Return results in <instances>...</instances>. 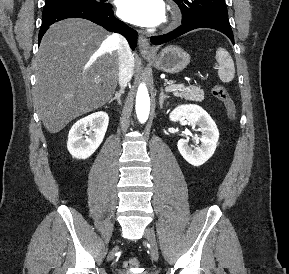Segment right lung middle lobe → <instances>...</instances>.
<instances>
[{"mask_svg": "<svg viewBox=\"0 0 289 274\" xmlns=\"http://www.w3.org/2000/svg\"><path fill=\"white\" fill-rule=\"evenodd\" d=\"M67 4H80V5H88V6H101L104 3H101L96 0H46L44 8H50L59 5H67Z\"/></svg>", "mask_w": 289, "mask_h": 274, "instance_id": "right-lung-middle-lobe-1", "label": "right lung middle lobe"}]
</instances>
